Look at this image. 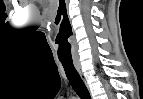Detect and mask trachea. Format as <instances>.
<instances>
[{
	"label": "trachea",
	"instance_id": "3493384b",
	"mask_svg": "<svg viewBox=\"0 0 143 99\" xmlns=\"http://www.w3.org/2000/svg\"><path fill=\"white\" fill-rule=\"evenodd\" d=\"M62 66L65 70L66 76L74 89L81 99H91L90 93L85 86L83 80L81 79L79 73L77 72L73 61L69 60H60Z\"/></svg>",
	"mask_w": 143,
	"mask_h": 99
}]
</instances>
